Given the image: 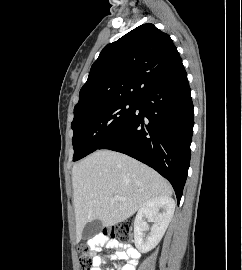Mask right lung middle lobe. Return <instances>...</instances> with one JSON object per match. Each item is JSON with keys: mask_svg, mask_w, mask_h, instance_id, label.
<instances>
[{"mask_svg": "<svg viewBox=\"0 0 242 270\" xmlns=\"http://www.w3.org/2000/svg\"><path fill=\"white\" fill-rule=\"evenodd\" d=\"M136 101L117 100L74 115L73 161L94 152L113 137L135 111Z\"/></svg>", "mask_w": 242, "mask_h": 270, "instance_id": "1", "label": "right lung middle lobe"}]
</instances>
